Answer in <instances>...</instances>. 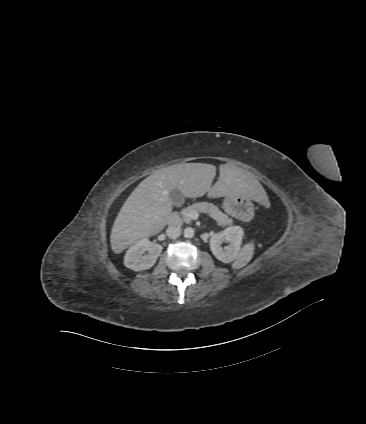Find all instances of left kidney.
I'll list each match as a JSON object with an SVG mask.
<instances>
[{"mask_svg":"<svg viewBox=\"0 0 366 424\" xmlns=\"http://www.w3.org/2000/svg\"><path fill=\"white\" fill-rule=\"evenodd\" d=\"M243 229L235 226L228 227L224 231L214 234L210 239V249L213 255L223 263L232 262L240 251L243 239ZM229 245L222 247V243Z\"/></svg>","mask_w":366,"mask_h":424,"instance_id":"5707ae66","label":"left kidney"}]
</instances>
